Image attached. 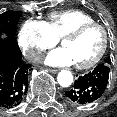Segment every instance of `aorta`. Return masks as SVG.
I'll use <instances>...</instances> for the list:
<instances>
[{
	"mask_svg": "<svg viewBox=\"0 0 117 117\" xmlns=\"http://www.w3.org/2000/svg\"><path fill=\"white\" fill-rule=\"evenodd\" d=\"M57 81L62 87H69L73 82V75L68 70H62L58 73Z\"/></svg>",
	"mask_w": 117,
	"mask_h": 117,
	"instance_id": "762f6f07",
	"label": "aorta"
}]
</instances>
